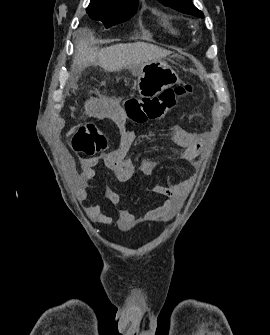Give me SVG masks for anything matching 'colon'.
Wrapping results in <instances>:
<instances>
[{
  "label": "colon",
  "instance_id": "1",
  "mask_svg": "<svg viewBox=\"0 0 270 335\" xmlns=\"http://www.w3.org/2000/svg\"><path fill=\"white\" fill-rule=\"evenodd\" d=\"M192 91L191 85H181L173 89H166L155 97H130L123 104L124 113L127 119L135 125L157 121L168 113L182 97ZM71 143L76 154L93 157L107 148L109 140L99 132L94 123L88 122L76 131Z\"/></svg>",
  "mask_w": 270,
  "mask_h": 335
}]
</instances>
